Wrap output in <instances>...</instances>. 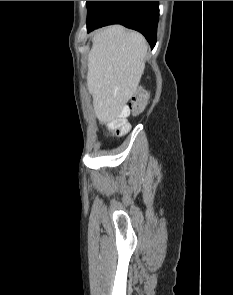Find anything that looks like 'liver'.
Wrapping results in <instances>:
<instances>
[{"label":"liver","mask_w":233,"mask_h":295,"mask_svg":"<svg viewBox=\"0 0 233 295\" xmlns=\"http://www.w3.org/2000/svg\"><path fill=\"white\" fill-rule=\"evenodd\" d=\"M147 48L140 33L121 25L94 33L88 55L87 87L101 122L117 118L136 92L145 69Z\"/></svg>","instance_id":"obj_1"}]
</instances>
